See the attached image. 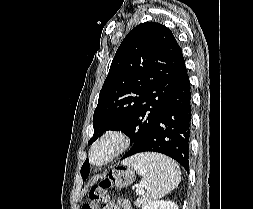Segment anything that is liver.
Returning a JSON list of instances; mask_svg holds the SVG:
<instances>
[{
    "label": "liver",
    "mask_w": 253,
    "mask_h": 209,
    "mask_svg": "<svg viewBox=\"0 0 253 209\" xmlns=\"http://www.w3.org/2000/svg\"><path fill=\"white\" fill-rule=\"evenodd\" d=\"M97 179H98V176H95V177L93 178L92 182H90V184H88V186L84 189V191H83L84 194L87 192V188H88L89 186H91L93 183H95Z\"/></svg>",
    "instance_id": "1"
}]
</instances>
